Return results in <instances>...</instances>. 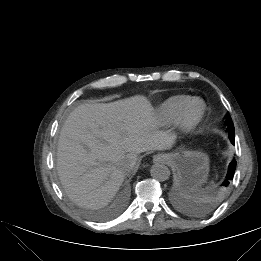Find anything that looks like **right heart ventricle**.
Wrapping results in <instances>:
<instances>
[{
    "mask_svg": "<svg viewBox=\"0 0 261 261\" xmlns=\"http://www.w3.org/2000/svg\"><path fill=\"white\" fill-rule=\"evenodd\" d=\"M193 100L188 95H176L166 99L158 108V117L163 123L176 121L185 107Z\"/></svg>",
    "mask_w": 261,
    "mask_h": 261,
    "instance_id": "e07e8e85",
    "label": "right heart ventricle"
}]
</instances>
